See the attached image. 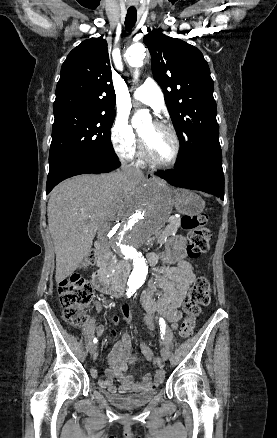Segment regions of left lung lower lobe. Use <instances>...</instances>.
Returning a JSON list of instances; mask_svg holds the SVG:
<instances>
[{"label":"left lung lower lobe","mask_w":277,"mask_h":438,"mask_svg":"<svg viewBox=\"0 0 277 438\" xmlns=\"http://www.w3.org/2000/svg\"><path fill=\"white\" fill-rule=\"evenodd\" d=\"M156 174L173 186L200 190L224 199L222 154L210 155L188 168L158 171Z\"/></svg>","instance_id":"1"}]
</instances>
